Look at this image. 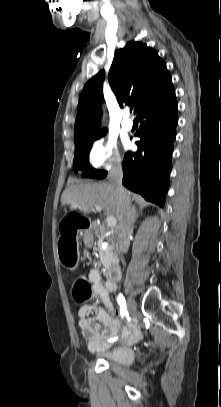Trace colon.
<instances>
[{
  "instance_id": "1",
  "label": "colon",
  "mask_w": 221,
  "mask_h": 407,
  "mask_svg": "<svg viewBox=\"0 0 221 407\" xmlns=\"http://www.w3.org/2000/svg\"><path fill=\"white\" fill-rule=\"evenodd\" d=\"M77 210H72L69 216H61V260L69 268L76 264V241L80 239L89 222L87 216H80ZM91 285L83 277H78L73 286V295L79 302L89 298Z\"/></svg>"
}]
</instances>
